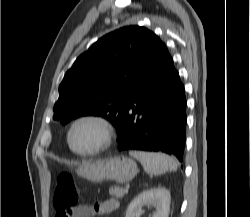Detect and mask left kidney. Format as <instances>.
Wrapping results in <instances>:
<instances>
[{
	"instance_id": "left-kidney-1",
	"label": "left kidney",
	"mask_w": 250,
	"mask_h": 217,
	"mask_svg": "<svg viewBox=\"0 0 250 217\" xmlns=\"http://www.w3.org/2000/svg\"><path fill=\"white\" fill-rule=\"evenodd\" d=\"M170 192L163 187L148 189L132 200L125 217H139L142 206L148 204L155 207L152 217H168L170 211Z\"/></svg>"
}]
</instances>
